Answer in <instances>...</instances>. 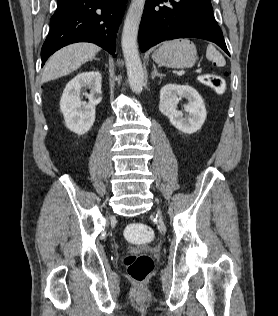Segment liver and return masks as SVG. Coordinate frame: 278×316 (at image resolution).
<instances>
[{"label":"liver","mask_w":278,"mask_h":316,"mask_svg":"<svg viewBox=\"0 0 278 316\" xmlns=\"http://www.w3.org/2000/svg\"><path fill=\"white\" fill-rule=\"evenodd\" d=\"M100 48L92 43H75L54 53L45 65L42 82L70 74L89 60L94 59Z\"/></svg>","instance_id":"obj_1"}]
</instances>
